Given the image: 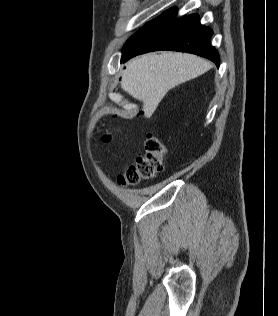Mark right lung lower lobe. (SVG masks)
I'll list each match as a JSON object with an SVG mask.
<instances>
[{"mask_svg": "<svg viewBox=\"0 0 278 316\" xmlns=\"http://www.w3.org/2000/svg\"><path fill=\"white\" fill-rule=\"evenodd\" d=\"M176 9L161 14L147 32L128 50L122 54V62L138 54L157 51L174 50L193 53L213 61L219 67V54L210 45L213 31L202 26L197 14L172 21Z\"/></svg>", "mask_w": 278, "mask_h": 316, "instance_id": "98d812e1", "label": "right lung lower lobe"}]
</instances>
